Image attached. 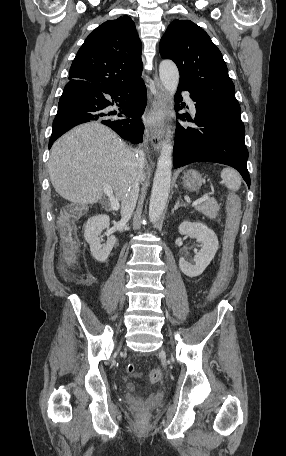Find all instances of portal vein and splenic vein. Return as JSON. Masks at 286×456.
Listing matches in <instances>:
<instances>
[{"label":"portal vein and splenic vein","mask_w":286,"mask_h":456,"mask_svg":"<svg viewBox=\"0 0 286 456\" xmlns=\"http://www.w3.org/2000/svg\"><path fill=\"white\" fill-rule=\"evenodd\" d=\"M103 191L104 193L108 196L109 200H110V203H111V207L113 210H117L119 208V202L117 201V199L113 196V190L111 188L110 185H104L103 186ZM210 197L209 196H204V197H201L197 200H195L193 203H192V206H197L199 204H201L202 202L208 200Z\"/></svg>","instance_id":"1"}]
</instances>
